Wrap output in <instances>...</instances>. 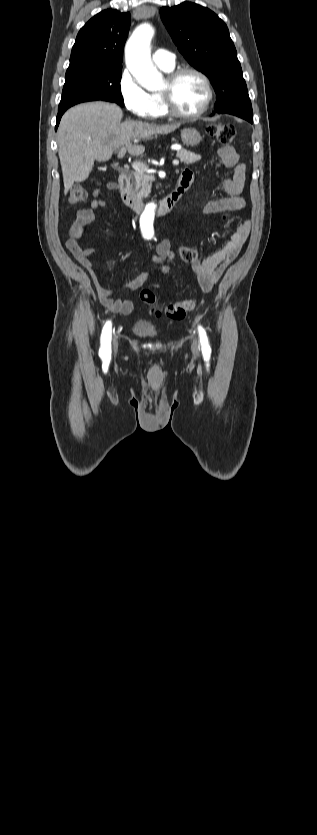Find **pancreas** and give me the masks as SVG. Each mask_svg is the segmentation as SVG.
I'll return each mask as SVG.
<instances>
[{
    "instance_id": "pancreas-1",
    "label": "pancreas",
    "mask_w": 317,
    "mask_h": 835,
    "mask_svg": "<svg viewBox=\"0 0 317 835\" xmlns=\"http://www.w3.org/2000/svg\"><path fill=\"white\" fill-rule=\"evenodd\" d=\"M176 157L187 165L193 164L201 159V155L186 149L177 150ZM152 181V176L145 174L143 171H135L132 183L128 188L129 199L141 201L143 198L148 197L151 191Z\"/></svg>"
}]
</instances>
